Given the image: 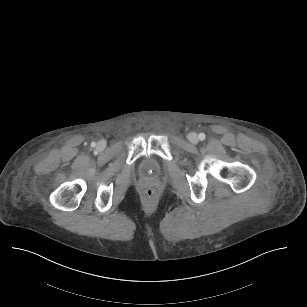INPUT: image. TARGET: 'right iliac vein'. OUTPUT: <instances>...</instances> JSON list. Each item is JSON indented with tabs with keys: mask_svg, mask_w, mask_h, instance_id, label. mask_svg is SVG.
Returning <instances> with one entry per match:
<instances>
[{
	"mask_svg": "<svg viewBox=\"0 0 307 307\" xmlns=\"http://www.w3.org/2000/svg\"><path fill=\"white\" fill-rule=\"evenodd\" d=\"M98 147L99 148H103L104 147V143L103 142L98 143Z\"/></svg>",
	"mask_w": 307,
	"mask_h": 307,
	"instance_id": "right-iliac-vein-1",
	"label": "right iliac vein"
}]
</instances>
